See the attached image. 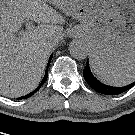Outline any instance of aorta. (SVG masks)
<instances>
[{"label":"aorta","instance_id":"obj_1","mask_svg":"<svg viewBox=\"0 0 135 135\" xmlns=\"http://www.w3.org/2000/svg\"><path fill=\"white\" fill-rule=\"evenodd\" d=\"M69 50L71 55L79 60L85 59L89 52L87 44L78 39H75L70 43Z\"/></svg>","mask_w":135,"mask_h":135}]
</instances>
